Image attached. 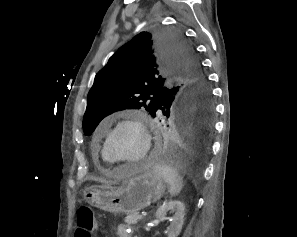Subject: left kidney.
Listing matches in <instances>:
<instances>
[{"mask_svg": "<svg viewBox=\"0 0 297 237\" xmlns=\"http://www.w3.org/2000/svg\"><path fill=\"white\" fill-rule=\"evenodd\" d=\"M168 212L174 213V215L169 219L170 225L167 227V236L178 237L184 224L185 205L179 200L165 202L162 206H160V208H158L156 217L160 221H165L168 219L166 217Z\"/></svg>", "mask_w": 297, "mask_h": 237, "instance_id": "obj_1", "label": "left kidney"}]
</instances>
